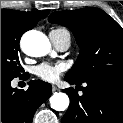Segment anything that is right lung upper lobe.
Returning <instances> with one entry per match:
<instances>
[{
  "label": "right lung upper lobe",
  "instance_id": "cb5924a9",
  "mask_svg": "<svg viewBox=\"0 0 123 123\" xmlns=\"http://www.w3.org/2000/svg\"><path fill=\"white\" fill-rule=\"evenodd\" d=\"M1 14H9L12 17L19 20V22L27 28L32 29L40 19L46 18L49 14L48 10L45 11H34V12H22L10 9H2Z\"/></svg>",
  "mask_w": 123,
  "mask_h": 123
}]
</instances>
